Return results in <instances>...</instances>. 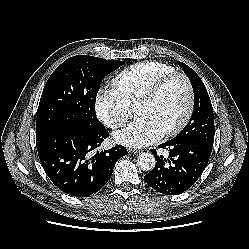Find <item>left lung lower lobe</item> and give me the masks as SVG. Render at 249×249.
<instances>
[{"label": "left lung lower lobe", "mask_w": 249, "mask_h": 249, "mask_svg": "<svg viewBox=\"0 0 249 249\" xmlns=\"http://www.w3.org/2000/svg\"><path fill=\"white\" fill-rule=\"evenodd\" d=\"M159 147L169 151V158L156 155L154 169L144 176L145 182L165 195H176L190 188L203 173L212 147L198 142L171 139ZM156 153L155 149H151Z\"/></svg>", "instance_id": "left-lung-lower-lobe-1"}]
</instances>
